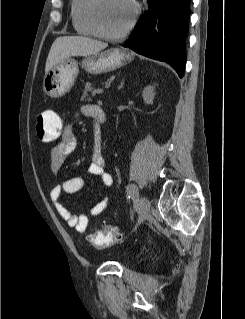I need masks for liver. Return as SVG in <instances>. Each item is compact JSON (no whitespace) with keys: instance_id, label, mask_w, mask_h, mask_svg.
Listing matches in <instances>:
<instances>
[{"instance_id":"6515ba94","label":"liver","mask_w":245,"mask_h":319,"mask_svg":"<svg viewBox=\"0 0 245 319\" xmlns=\"http://www.w3.org/2000/svg\"><path fill=\"white\" fill-rule=\"evenodd\" d=\"M108 46L107 43L85 36L58 37L49 51L45 74L56 64L71 56H89L98 54Z\"/></svg>"}]
</instances>
